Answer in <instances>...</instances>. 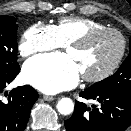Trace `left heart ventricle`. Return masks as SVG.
Returning <instances> with one entry per match:
<instances>
[{"mask_svg":"<svg viewBox=\"0 0 131 131\" xmlns=\"http://www.w3.org/2000/svg\"><path fill=\"white\" fill-rule=\"evenodd\" d=\"M120 47L118 36L104 33L91 39L85 46L67 48L66 52L75 60L82 75H95L114 61Z\"/></svg>","mask_w":131,"mask_h":131,"instance_id":"b2bd125f","label":"left heart ventricle"}]
</instances>
